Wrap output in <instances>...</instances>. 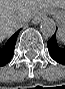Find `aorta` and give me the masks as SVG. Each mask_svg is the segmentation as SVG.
<instances>
[{
	"instance_id": "aorta-1",
	"label": "aorta",
	"mask_w": 65,
	"mask_h": 89,
	"mask_svg": "<svg viewBox=\"0 0 65 89\" xmlns=\"http://www.w3.org/2000/svg\"><path fill=\"white\" fill-rule=\"evenodd\" d=\"M40 31L43 36L51 37L55 34L56 24L51 18H44L40 23Z\"/></svg>"
}]
</instances>
